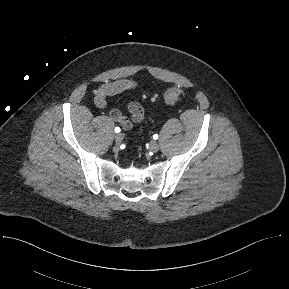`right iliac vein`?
<instances>
[{
  "label": "right iliac vein",
  "instance_id": "obj_1",
  "mask_svg": "<svg viewBox=\"0 0 289 289\" xmlns=\"http://www.w3.org/2000/svg\"><path fill=\"white\" fill-rule=\"evenodd\" d=\"M123 141V135L121 134V133H117L116 135H115V142H116V144H121V142Z\"/></svg>",
  "mask_w": 289,
  "mask_h": 289
}]
</instances>
